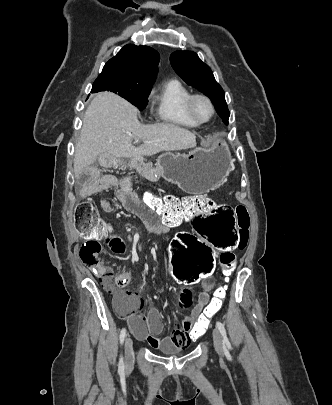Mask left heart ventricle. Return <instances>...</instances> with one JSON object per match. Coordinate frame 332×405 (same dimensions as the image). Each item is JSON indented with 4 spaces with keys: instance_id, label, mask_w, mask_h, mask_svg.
Here are the masks:
<instances>
[{
    "instance_id": "b2bd125f",
    "label": "left heart ventricle",
    "mask_w": 332,
    "mask_h": 405,
    "mask_svg": "<svg viewBox=\"0 0 332 405\" xmlns=\"http://www.w3.org/2000/svg\"><path fill=\"white\" fill-rule=\"evenodd\" d=\"M193 109H194L195 115L201 120H205V119L209 118V116L211 114V108H210L209 104L202 99L195 100V102L193 104Z\"/></svg>"
}]
</instances>
